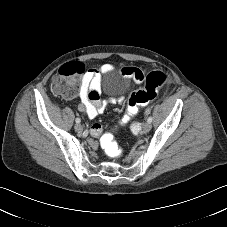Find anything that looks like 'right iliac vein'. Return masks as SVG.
Wrapping results in <instances>:
<instances>
[{
	"mask_svg": "<svg viewBox=\"0 0 227 227\" xmlns=\"http://www.w3.org/2000/svg\"><path fill=\"white\" fill-rule=\"evenodd\" d=\"M74 129H75V131L78 132V133H81V132L83 131V127H82L81 124H76V125L74 126Z\"/></svg>",
	"mask_w": 227,
	"mask_h": 227,
	"instance_id": "obj_1",
	"label": "right iliac vein"
}]
</instances>
